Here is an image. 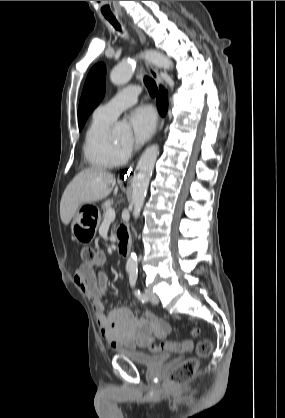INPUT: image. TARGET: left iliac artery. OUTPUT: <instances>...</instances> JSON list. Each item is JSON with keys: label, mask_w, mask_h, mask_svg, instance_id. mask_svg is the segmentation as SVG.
Masks as SVG:
<instances>
[{"label": "left iliac artery", "mask_w": 285, "mask_h": 418, "mask_svg": "<svg viewBox=\"0 0 285 418\" xmlns=\"http://www.w3.org/2000/svg\"><path fill=\"white\" fill-rule=\"evenodd\" d=\"M129 276H130V278H129L130 285H131V287L135 288L137 278H138V271L137 270H131L129 272ZM134 293L140 301H142V302L147 301V297L143 293H141L139 290L135 289Z\"/></svg>", "instance_id": "left-iliac-artery-1"}]
</instances>
